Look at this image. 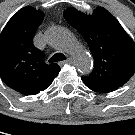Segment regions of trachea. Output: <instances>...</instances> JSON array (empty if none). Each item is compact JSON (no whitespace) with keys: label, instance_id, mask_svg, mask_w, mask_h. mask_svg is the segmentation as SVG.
<instances>
[{"label":"trachea","instance_id":"trachea-1","mask_svg":"<svg viewBox=\"0 0 135 135\" xmlns=\"http://www.w3.org/2000/svg\"><path fill=\"white\" fill-rule=\"evenodd\" d=\"M66 60V57L64 54L62 53H55L50 59L49 62L50 63H54V62H59V61H64Z\"/></svg>","mask_w":135,"mask_h":135}]
</instances>
